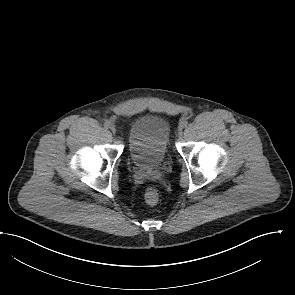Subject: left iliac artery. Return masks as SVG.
I'll list each match as a JSON object with an SVG mask.
<instances>
[{
	"mask_svg": "<svg viewBox=\"0 0 295 295\" xmlns=\"http://www.w3.org/2000/svg\"><path fill=\"white\" fill-rule=\"evenodd\" d=\"M181 125L183 126V128H184V127H187L188 122H187V121H182V122H181Z\"/></svg>",
	"mask_w": 295,
	"mask_h": 295,
	"instance_id": "1",
	"label": "left iliac artery"
}]
</instances>
